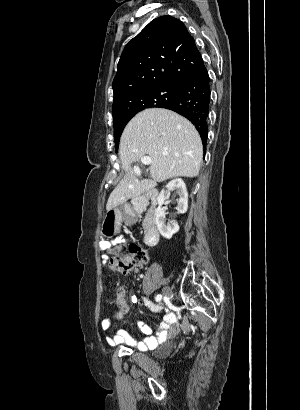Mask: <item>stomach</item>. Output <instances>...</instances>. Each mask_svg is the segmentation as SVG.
I'll return each mask as SVG.
<instances>
[{"instance_id": "0dacf381", "label": "stomach", "mask_w": 300, "mask_h": 410, "mask_svg": "<svg viewBox=\"0 0 300 410\" xmlns=\"http://www.w3.org/2000/svg\"><path fill=\"white\" fill-rule=\"evenodd\" d=\"M126 219H135L130 205L124 204L106 212L101 231L105 237H112L120 231L121 224Z\"/></svg>"}]
</instances>
